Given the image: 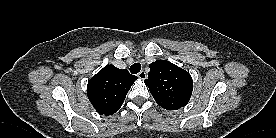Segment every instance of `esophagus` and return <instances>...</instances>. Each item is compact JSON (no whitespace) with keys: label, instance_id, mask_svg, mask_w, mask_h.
I'll use <instances>...</instances> for the list:
<instances>
[{"label":"esophagus","instance_id":"1","mask_svg":"<svg viewBox=\"0 0 276 138\" xmlns=\"http://www.w3.org/2000/svg\"><path fill=\"white\" fill-rule=\"evenodd\" d=\"M138 77H139L140 79L144 80V79H146L147 75H146L145 71H140V72L138 73Z\"/></svg>","mask_w":276,"mask_h":138}]
</instances>
